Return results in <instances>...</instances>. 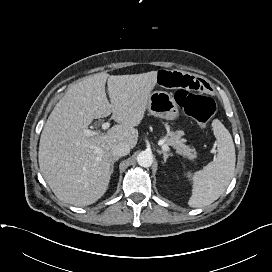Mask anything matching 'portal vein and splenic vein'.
I'll use <instances>...</instances> for the list:
<instances>
[{"label": "portal vein and splenic vein", "instance_id": "1", "mask_svg": "<svg viewBox=\"0 0 272 272\" xmlns=\"http://www.w3.org/2000/svg\"><path fill=\"white\" fill-rule=\"evenodd\" d=\"M110 127V123L109 122H105L102 124V129L103 130H106ZM84 134L88 137H93V136H97L100 134V131L99 130H90V129H85L84 130ZM162 149L165 150V151H169L170 148L166 145V144H162Z\"/></svg>", "mask_w": 272, "mask_h": 272}]
</instances>
